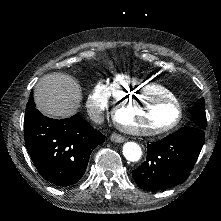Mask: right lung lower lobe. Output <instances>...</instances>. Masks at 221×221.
<instances>
[{"instance_id": "obj_1", "label": "right lung lower lobe", "mask_w": 221, "mask_h": 221, "mask_svg": "<svg viewBox=\"0 0 221 221\" xmlns=\"http://www.w3.org/2000/svg\"><path fill=\"white\" fill-rule=\"evenodd\" d=\"M24 124L25 145L35 167L57 186L80 180L91 152L104 142V135L77 115L50 119L31 106L26 108Z\"/></svg>"}]
</instances>
